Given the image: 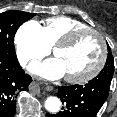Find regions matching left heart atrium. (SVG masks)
Instances as JSON below:
<instances>
[{"instance_id": "obj_1", "label": "left heart atrium", "mask_w": 117, "mask_h": 117, "mask_svg": "<svg viewBox=\"0 0 117 117\" xmlns=\"http://www.w3.org/2000/svg\"><path fill=\"white\" fill-rule=\"evenodd\" d=\"M31 71L45 79L55 80L63 77L64 70L57 58L46 60L31 66Z\"/></svg>"}]
</instances>
